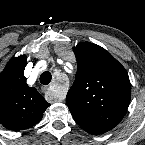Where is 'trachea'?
I'll return each instance as SVG.
<instances>
[{"instance_id":"3493384b","label":"trachea","mask_w":145,"mask_h":145,"mask_svg":"<svg viewBox=\"0 0 145 145\" xmlns=\"http://www.w3.org/2000/svg\"><path fill=\"white\" fill-rule=\"evenodd\" d=\"M51 79H52L51 73L48 71L42 73L40 76V82L44 85L49 84Z\"/></svg>"}]
</instances>
